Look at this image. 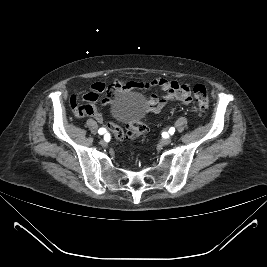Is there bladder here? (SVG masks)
<instances>
[{
    "label": "bladder",
    "instance_id": "obj_1",
    "mask_svg": "<svg viewBox=\"0 0 267 267\" xmlns=\"http://www.w3.org/2000/svg\"><path fill=\"white\" fill-rule=\"evenodd\" d=\"M110 112L113 119L119 124L140 121L145 116L142 102L136 96L129 94L118 96L113 101Z\"/></svg>",
    "mask_w": 267,
    "mask_h": 267
}]
</instances>
